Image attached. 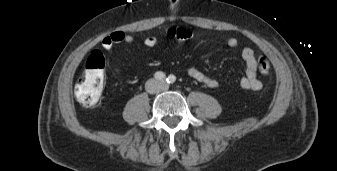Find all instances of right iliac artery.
Instances as JSON below:
<instances>
[{
    "label": "right iliac artery",
    "mask_w": 337,
    "mask_h": 171,
    "mask_svg": "<svg viewBox=\"0 0 337 171\" xmlns=\"http://www.w3.org/2000/svg\"><path fill=\"white\" fill-rule=\"evenodd\" d=\"M154 77L157 80L163 81L166 78V75L163 72L158 71L154 74Z\"/></svg>",
    "instance_id": "obj_1"
}]
</instances>
